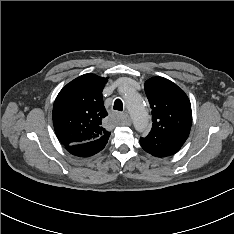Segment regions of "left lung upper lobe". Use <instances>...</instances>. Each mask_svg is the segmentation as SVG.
<instances>
[{
    "label": "left lung upper lobe",
    "instance_id": "5c2ea615",
    "mask_svg": "<svg viewBox=\"0 0 234 234\" xmlns=\"http://www.w3.org/2000/svg\"><path fill=\"white\" fill-rule=\"evenodd\" d=\"M152 109V129L147 137L172 140L181 146L187 140L192 123L191 104L182 89L163 77L144 84Z\"/></svg>",
    "mask_w": 234,
    "mask_h": 234
}]
</instances>
